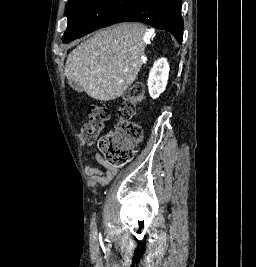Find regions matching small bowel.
<instances>
[{
  "label": "small bowel",
  "instance_id": "c3829d8e",
  "mask_svg": "<svg viewBox=\"0 0 256 267\" xmlns=\"http://www.w3.org/2000/svg\"><path fill=\"white\" fill-rule=\"evenodd\" d=\"M87 147H92L93 142L85 141ZM95 161L100 167L87 165L86 174L88 177V183L91 186H105L107 185L116 175L117 169L110 166L101 153L96 152Z\"/></svg>",
  "mask_w": 256,
  "mask_h": 267
}]
</instances>
